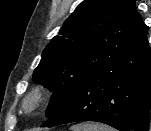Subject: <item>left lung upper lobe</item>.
Here are the masks:
<instances>
[{"instance_id":"5c2ea615","label":"left lung upper lobe","mask_w":151,"mask_h":131,"mask_svg":"<svg viewBox=\"0 0 151 131\" xmlns=\"http://www.w3.org/2000/svg\"><path fill=\"white\" fill-rule=\"evenodd\" d=\"M135 0H84L42 52L33 80L53 91V116L89 74L118 67L134 49Z\"/></svg>"}]
</instances>
